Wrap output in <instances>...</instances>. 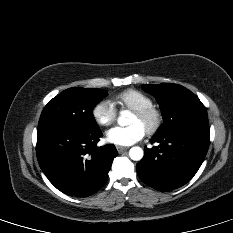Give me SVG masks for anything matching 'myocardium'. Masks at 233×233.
Instances as JSON below:
<instances>
[{"mask_svg":"<svg viewBox=\"0 0 233 233\" xmlns=\"http://www.w3.org/2000/svg\"><path fill=\"white\" fill-rule=\"evenodd\" d=\"M133 112L138 118L148 122V127L146 129V133L148 135L157 133L161 128L163 123V114L161 110L155 106L135 110Z\"/></svg>","mask_w":233,"mask_h":233,"instance_id":"1","label":"myocardium"}]
</instances>
